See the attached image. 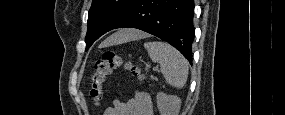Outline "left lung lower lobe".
I'll use <instances>...</instances> for the list:
<instances>
[{"instance_id": "left-lung-lower-lobe-1", "label": "left lung lower lobe", "mask_w": 285, "mask_h": 115, "mask_svg": "<svg viewBox=\"0 0 285 115\" xmlns=\"http://www.w3.org/2000/svg\"><path fill=\"white\" fill-rule=\"evenodd\" d=\"M193 17V0H135L110 30L128 27L148 32L171 44L192 63Z\"/></svg>"}]
</instances>
